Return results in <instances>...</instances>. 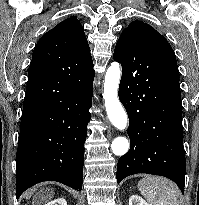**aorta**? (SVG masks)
<instances>
[{"instance_id": "obj_1", "label": "aorta", "mask_w": 199, "mask_h": 205, "mask_svg": "<svg viewBox=\"0 0 199 205\" xmlns=\"http://www.w3.org/2000/svg\"><path fill=\"white\" fill-rule=\"evenodd\" d=\"M121 78V67L113 62L107 69L104 81L103 98L107 115L111 123L119 130L127 128V115L118 98V87ZM112 152L117 156L126 154L129 149V141L125 137H117L111 144Z\"/></svg>"}]
</instances>
